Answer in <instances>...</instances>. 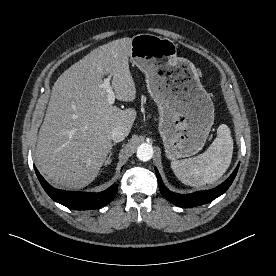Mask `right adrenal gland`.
I'll return each instance as SVG.
<instances>
[{"instance_id": "right-adrenal-gland-1", "label": "right adrenal gland", "mask_w": 276, "mask_h": 276, "mask_svg": "<svg viewBox=\"0 0 276 276\" xmlns=\"http://www.w3.org/2000/svg\"><path fill=\"white\" fill-rule=\"evenodd\" d=\"M115 145V143L114 144H112V146H111V148H110V151H109V156H108V158H107V160L105 161V166H107L108 164H110L111 163V161H112V147Z\"/></svg>"}]
</instances>
